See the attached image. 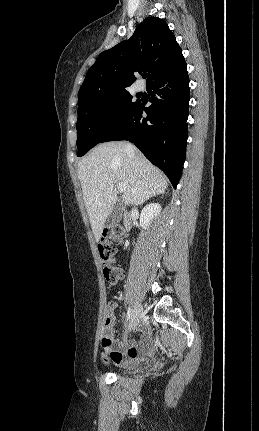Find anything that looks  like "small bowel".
I'll return each mask as SVG.
<instances>
[{"instance_id": "1", "label": "small bowel", "mask_w": 259, "mask_h": 431, "mask_svg": "<svg viewBox=\"0 0 259 431\" xmlns=\"http://www.w3.org/2000/svg\"><path fill=\"white\" fill-rule=\"evenodd\" d=\"M116 302H110L107 307L106 335L110 339V344L103 345L104 359L109 358L116 365H129L143 358L149 352L151 346V333L144 325L140 326L142 339L136 343L134 341L123 343L113 337V325L115 318L113 311Z\"/></svg>"}]
</instances>
